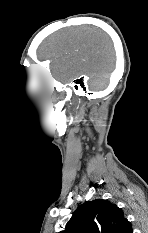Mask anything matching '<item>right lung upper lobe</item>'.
<instances>
[{
    "instance_id": "cb5924a9",
    "label": "right lung upper lobe",
    "mask_w": 148,
    "mask_h": 233,
    "mask_svg": "<svg viewBox=\"0 0 148 233\" xmlns=\"http://www.w3.org/2000/svg\"><path fill=\"white\" fill-rule=\"evenodd\" d=\"M60 233H133L121 208L103 199L80 205Z\"/></svg>"
}]
</instances>
